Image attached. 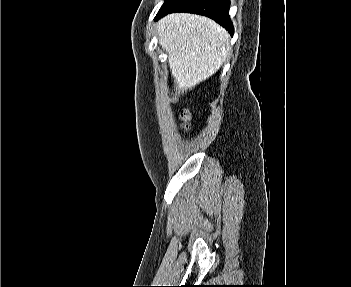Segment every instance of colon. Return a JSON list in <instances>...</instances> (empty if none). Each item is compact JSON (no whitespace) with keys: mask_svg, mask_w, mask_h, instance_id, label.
I'll use <instances>...</instances> for the list:
<instances>
[{"mask_svg":"<svg viewBox=\"0 0 351 287\" xmlns=\"http://www.w3.org/2000/svg\"><path fill=\"white\" fill-rule=\"evenodd\" d=\"M182 118L184 119V121H188L190 118V115L187 111L183 112L182 114Z\"/></svg>","mask_w":351,"mask_h":287,"instance_id":"5ec220e1","label":"colon"}]
</instances>
